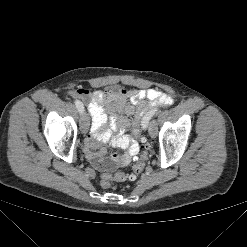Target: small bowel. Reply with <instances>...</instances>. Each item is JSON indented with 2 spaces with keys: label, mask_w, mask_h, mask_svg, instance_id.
<instances>
[{
  "label": "small bowel",
  "mask_w": 247,
  "mask_h": 247,
  "mask_svg": "<svg viewBox=\"0 0 247 247\" xmlns=\"http://www.w3.org/2000/svg\"><path fill=\"white\" fill-rule=\"evenodd\" d=\"M70 96L87 103L92 116L91 132L85 140V153L91 164L100 171H113L127 166L139 153L138 142L126 131L142 120L148 108L162 104L171 105L170 95L157 89L134 90H95L77 88L69 92ZM110 128L103 130L107 119ZM103 143L125 150L123 154H112L105 160Z\"/></svg>",
  "instance_id": "small-bowel-1"
}]
</instances>
